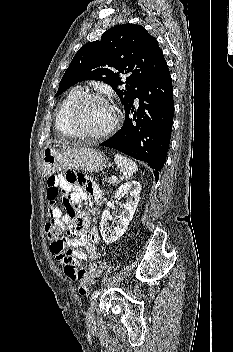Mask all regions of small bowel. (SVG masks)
Listing matches in <instances>:
<instances>
[{
  "label": "small bowel",
  "instance_id": "c3829d8e",
  "mask_svg": "<svg viewBox=\"0 0 233 352\" xmlns=\"http://www.w3.org/2000/svg\"><path fill=\"white\" fill-rule=\"evenodd\" d=\"M59 196L66 208L65 212L56 206ZM46 197L49 222L60 227L69 236L64 247L52 243L50 251L62 265L64 274L76 280L77 273L88 258L98 260L101 257V251L97 248L100 241L99 230L96 226H90L89 215L84 209L89 198L99 201L101 192L86 176L68 171L48 178ZM66 247L69 249H65ZM80 248H84L85 252Z\"/></svg>",
  "mask_w": 233,
  "mask_h": 352
}]
</instances>
